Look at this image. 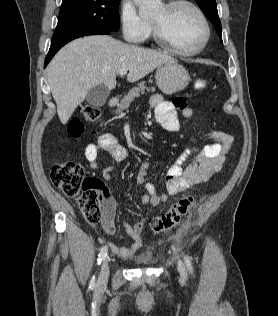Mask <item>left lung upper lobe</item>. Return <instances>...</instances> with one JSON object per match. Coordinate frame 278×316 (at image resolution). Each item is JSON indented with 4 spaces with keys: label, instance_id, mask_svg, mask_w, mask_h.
I'll return each instance as SVG.
<instances>
[{
    "label": "left lung upper lobe",
    "instance_id": "left-lung-upper-lobe-1",
    "mask_svg": "<svg viewBox=\"0 0 278 316\" xmlns=\"http://www.w3.org/2000/svg\"><path fill=\"white\" fill-rule=\"evenodd\" d=\"M200 8L203 10V12L206 14L208 19L213 23L215 26V29L217 31V34L221 37L222 31H221V22L218 17V11L216 7V1L215 0H195Z\"/></svg>",
    "mask_w": 278,
    "mask_h": 316
}]
</instances>
